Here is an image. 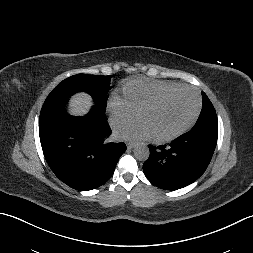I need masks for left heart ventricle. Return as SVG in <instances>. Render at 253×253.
I'll return each mask as SVG.
<instances>
[{
	"label": "left heart ventricle",
	"mask_w": 253,
	"mask_h": 253,
	"mask_svg": "<svg viewBox=\"0 0 253 253\" xmlns=\"http://www.w3.org/2000/svg\"><path fill=\"white\" fill-rule=\"evenodd\" d=\"M197 99L188 91H180L157 106L145 110L139 118L145 122L152 137L172 134L186 124L195 112Z\"/></svg>",
	"instance_id": "b2bd125f"
}]
</instances>
